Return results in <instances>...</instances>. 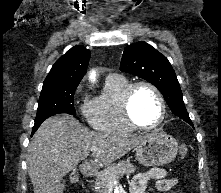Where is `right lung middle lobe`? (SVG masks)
<instances>
[{
    "label": "right lung middle lobe",
    "instance_id": "right-lung-middle-lobe-1",
    "mask_svg": "<svg viewBox=\"0 0 221 193\" xmlns=\"http://www.w3.org/2000/svg\"><path fill=\"white\" fill-rule=\"evenodd\" d=\"M77 86L42 89L35 123H42L50 116L59 113L76 114L73 97Z\"/></svg>",
    "mask_w": 221,
    "mask_h": 193
}]
</instances>
